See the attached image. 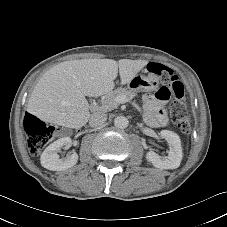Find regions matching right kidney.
Segmentation results:
<instances>
[{
	"label": "right kidney",
	"instance_id": "right-kidney-1",
	"mask_svg": "<svg viewBox=\"0 0 227 227\" xmlns=\"http://www.w3.org/2000/svg\"><path fill=\"white\" fill-rule=\"evenodd\" d=\"M71 142L70 137H63L51 143L41 155V165L52 171H62L74 166L78 161L77 153L62 159L57 154L61 147L69 145Z\"/></svg>",
	"mask_w": 227,
	"mask_h": 227
}]
</instances>
